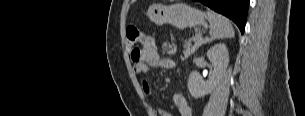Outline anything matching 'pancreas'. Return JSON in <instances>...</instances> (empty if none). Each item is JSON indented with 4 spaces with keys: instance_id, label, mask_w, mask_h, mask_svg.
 <instances>
[{
    "instance_id": "obj_1",
    "label": "pancreas",
    "mask_w": 305,
    "mask_h": 116,
    "mask_svg": "<svg viewBox=\"0 0 305 116\" xmlns=\"http://www.w3.org/2000/svg\"><path fill=\"white\" fill-rule=\"evenodd\" d=\"M200 39H201V37H200ZM193 40H194V41H198V39H197L196 37H194ZM197 46H198V44L195 45V46H192V45L190 44V42L185 41V44H184V48H185V50H184V56H185V57H189V56L195 51V49L197 48Z\"/></svg>"
}]
</instances>
